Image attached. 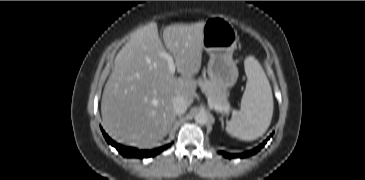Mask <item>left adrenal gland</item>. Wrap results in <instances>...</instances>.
<instances>
[{"mask_svg": "<svg viewBox=\"0 0 365 180\" xmlns=\"http://www.w3.org/2000/svg\"><path fill=\"white\" fill-rule=\"evenodd\" d=\"M220 121H221V124H222V127H223L224 126L223 117H220Z\"/></svg>", "mask_w": 365, "mask_h": 180, "instance_id": "1", "label": "left adrenal gland"}]
</instances>
